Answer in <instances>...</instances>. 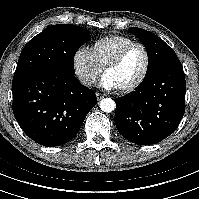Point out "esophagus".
<instances>
[{"label": "esophagus", "mask_w": 199, "mask_h": 199, "mask_svg": "<svg viewBox=\"0 0 199 199\" xmlns=\"http://www.w3.org/2000/svg\"><path fill=\"white\" fill-rule=\"evenodd\" d=\"M96 98H97V100H101V99L104 98V95L97 92V93H96Z\"/></svg>", "instance_id": "34e87169"}]
</instances>
